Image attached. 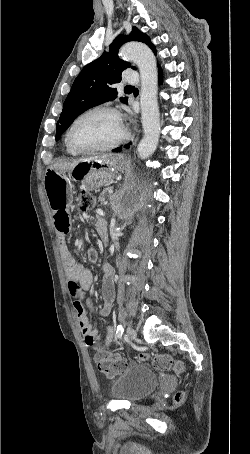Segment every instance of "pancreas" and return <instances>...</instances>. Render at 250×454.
Masks as SVG:
<instances>
[{
	"label": "pancreas",
	"mask_w": 250,
	"mask_h": 454,
	"mask_svg": "<svg viewBox=\"0 0 250 454\" xmlns=\"http://www.w3.org/2000/svg\"><path fill=\"white\" fill-rule=\"evenodd\" d=\"M109 190H110V188H106V189L103 190V192L99 196V201H103L104 200V194H106Z\"/></svg>",
	"instance_id": "pancreas-1"
}]
</instances>
